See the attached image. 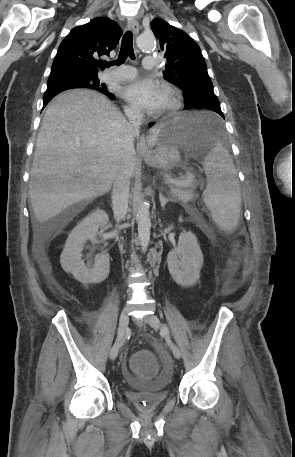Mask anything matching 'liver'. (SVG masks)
<instances>
[{"mask_svg":"<svg viewBox=\"0 0 295 457\" xmlns=\"http://www.w3.org/2000/svg\"><path fill=\"white\" fill-rule=\"evenodd\" d=\"M159 128L148 137L156 143ZM139 131L103 95L67 91L47 107L36 141L29 197L40 223L111 189L119 171L132 178ZM96 163V165H95Z\"/></svg>","mask_w":295,"mask_h":457,"instance_id":"1","label":"liver"}]
</instances>
